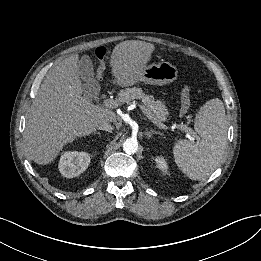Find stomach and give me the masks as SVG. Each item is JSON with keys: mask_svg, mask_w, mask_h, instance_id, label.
I'll use <instances>...</instances> for the list:
<instances>
[{"mask_svg": "<svg viewBox=\"0 0 261 261\" xmlns=\"http://www.w3.org/2000/svg\"><path fill=\"white\" fill-rule=\"evenodd\" d=\"M178 77V69L170 62L146 65L140 74L129 80L125 85L144 82L151 85H167Z\"/></svg>", "mask_w": 261, "mask_h": 261, "instance_id": "stomach-1", "label": "stomach"}]
</instances>
